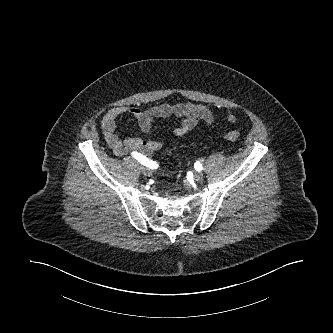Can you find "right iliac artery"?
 <instances>
[{
    "label": "right iliac artery",
    "instance_id": "82829eb1",
    "mask_svg": "<svg viewBox=\"0 0 333 333\" xmlns=\"http://www.w3.org/2000/svg\"><path fill=\"white\" fill-rule=\"evenodd\" d=\"M132 156L146 167H149L151 169H157V167H158V164L156 162L146 158L145 156H143L142 154H140L138 152H133Z\"/></svg>",
    "mask_w": 333,
    "mask_h": 333
}]
</instances>
